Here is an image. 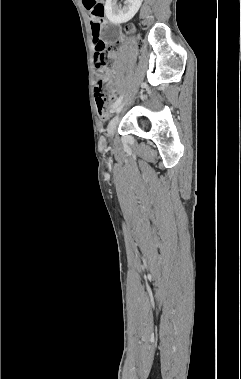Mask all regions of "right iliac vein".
<instances>
[{
  "instance_id": "63e3f726",
  "label": "right iliac vein",
  "mask_w": 241,
  "mask_h": 379,
  "mask_svg": "<svg viewBox=\"0 0 241 379\" xmlns=\"http://www.w3.org/2000/svg\"><path fill=\"white\" fill-rule=\"evenodd\" d=\"M125 103H126V101L123 102L122 104H119V105L116 107V109H115V113H116V114H118V113L122 110V108H123V106L125 105ZM116 125H117V119H113V120L111 121V123L109 124L108 128H107V135H108V136H111V135L113 134V132H114V130H115V128H116Z\"/></svg>"
}]
</instances>
